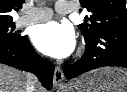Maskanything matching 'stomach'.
<instances>
[{"label": "stomach", "instance_id": "stomach-1", "mask_svg": "<svg viewBox=\"0 0 127 92\" xmlns=\"http://www.w3.org/2000/svg\"><path fill=\"white\" fill-rule=\"evenodd\" d=\"M63 92H127V72L117 67L99 68L73 80Z\"/></svg>", "mask_w": 127, "mask_h": 92}]
</instances>
